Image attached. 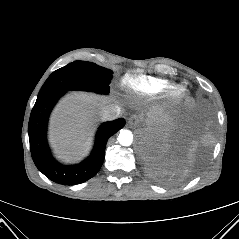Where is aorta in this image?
<instances>
[{
  "label": "aorta",
  "mask_w": 239,
  "mask_h": 239,
  "mask_svg": "<svg viewBox=\"0 0 239 239\" xmlns=\"http://www.w3.org/2000/svg\"><path fill=\"white\" fill-rule=\"evenodd\" d=\"M117 140L122 146H130L133 143V134L127 129L120 130Z\"/></svg>",
  "instance_id": "762f6f07"
}]
</instances>
